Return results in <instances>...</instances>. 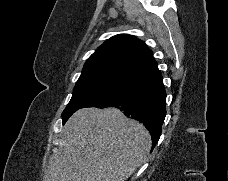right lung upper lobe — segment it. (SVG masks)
Returning a JSON list of instances; mask_svg holds the SVG:
<instances>
[{
	"label": "right lung upper lobe",
	"mask_w": 228,
	"mask_h": 181,
	"mask_svg": "<svg viewBox=\"0 0 228 181\" xmlns=\"http://www.w3.org/2000/svg\"><path fill=\"white\" fill-rule=\"evenodd\" d=\"M156 66L151 50L143 41L119 34L108 39L89 57L80 78L112 76L132 80Z\"/></svg>",
	"instance_id": "1"
}]
</instances>
